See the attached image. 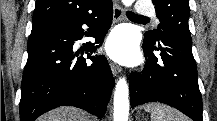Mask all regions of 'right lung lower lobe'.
Masks as SVG:
<instances>
[{
  "instance_id": "98d812e1",
  "label": "right lung lower lobe",
  "mask_w": 217,
  "mask_h": 121,
  "mask_svg": "<svg viewBox=\"0 0 217 121\" xmlns=\"http://www.w3.org/2000/svg\"><path fill=\"white\" fill-rule=\"evenodd\" d=\"M112 0L96 11L73 21L31 33L19 105L20 120L34 121L43 113L63 105L79 107L101 118L107 108L114 79L104 56L78 57L103 43L112 22ZM90 27L88 33L82 28ZM95 38L79 51L73 42L87 35Z\"/></svg>"
}]
</instances>
